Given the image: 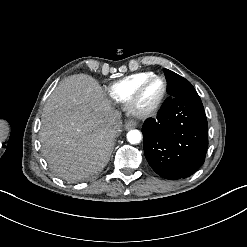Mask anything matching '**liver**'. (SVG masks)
<instances>
[{
	"instance_id": "liver-1",
	"label": "liver",
	"mask_w": 247,
	"mask_h": 247,
	"mask_svg": "<svg viewBox=\"0 0 247 247\" xmlns=\"http://www.w3.org/2000/svg\"><path fill=\"white\" fill-rule=\"evenodd\" d=\"M113 119L122 123L97 80L85 74L64 79L41 118L40 142L50 167L71 182L101 171L113 150Z\"/></svg>"
}]
</instances>
